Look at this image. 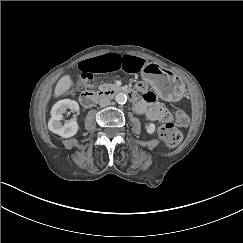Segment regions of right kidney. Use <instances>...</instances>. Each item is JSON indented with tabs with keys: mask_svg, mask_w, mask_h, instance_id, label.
<instances>
[{
	"mask_svg": "<svg viewBox=\"0 0 243 243\" xmlns=\"http://www.w3.org/2000/svg\"><path fill=\"white\" fill-rule=\"evenodd\" d=\"M67 109L79 113V105L75 100L63 99L53 105L51 109V118L48 122L49 130L63 138L72 137L78 130V124L75 119L68 120L65 124H62L63 113H65Z\"/></svg>",
	"mask_w": 243,
	"mask_h": 243,
	"instance_id": "1",
	"label": "right kidney"
}]
</instances>
